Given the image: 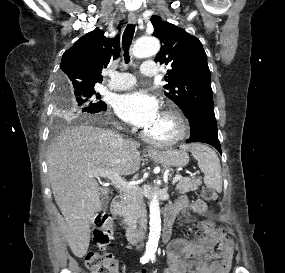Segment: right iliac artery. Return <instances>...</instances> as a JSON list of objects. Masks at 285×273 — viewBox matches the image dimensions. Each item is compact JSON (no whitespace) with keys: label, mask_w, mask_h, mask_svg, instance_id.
Masks as SVG:
<instances>
[{"label":"right iliac artery","mask_w":285,"mask_h":273,"mask_svg":"<svg viewBox=\"0 0 285 273\" xmlns=\"http://www.w3.org/2000/svg\"><path fill=\"white\" fill-rule=\"evenodd\" d=\"M149 259H150V256H149V255H144V256H142V257L140 258V262H141L142 264H145V263H147V262L149 261Z\"/></svg>","instance_id":"82829eb1"}]
</instances>
